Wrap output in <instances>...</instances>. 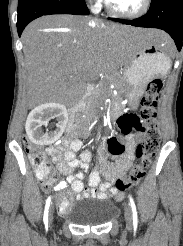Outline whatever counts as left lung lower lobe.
<instances>
[{
    "label": "left lung lower lobe",
    "instance_id": "1",
    "mask_svg": "<svg viewBox=\"0 0 183 246\" xmlns=\"http://www.w3.org/2000/svg\"><path fill=\"white\" fill-rule=\"evenodd\" d=\"M136 27L159 28L166 31L175 41L177 49L183 40V0H152L149 11L134 20L108 18Z\"/></svg>",
    "mask_w": 183,
    "mask_h": 246
}]
</instances>
